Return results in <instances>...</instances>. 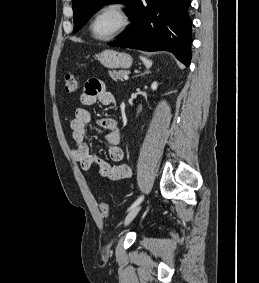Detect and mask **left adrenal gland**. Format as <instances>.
<instances>
[{"label":"left adrenal gland","mask_w":259,"mask_h":283,"mask_svg":"<svg viewBox=\"0 0 259 283\" xmlns=\"http://www.w3.org/2000/svg\"><path fill=\"white\" fill-rule=\"evenodd\" d=\"M148 73H150V71H145L143 74H141V75H144V74H148Z\"/></svg>","instance_id":"obj_1"}]
</instances>
